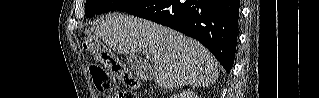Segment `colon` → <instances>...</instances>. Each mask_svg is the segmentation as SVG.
<instances>
[{"label":"colon","mask_w":319,"mask_h":98,"mask_svg":"<svg viewBox=\"0 0 319 98\" xmlns=\"http://www.w3.org/2000/svg\"><path fill=\"white\" fill-rule=\"evenodd\" d=\"M83 47L91 51L97 60L107 65L111 73L106 72L98 65L90 67V73L98 92L105 98H134L132 91L140 87V82L128 69L117 61L112 53L103 47L90 33H86L82 39ZM115 78L120 79L128 92L118 93Z\"/></svg>","instance_id":"1"}]
</instances>
